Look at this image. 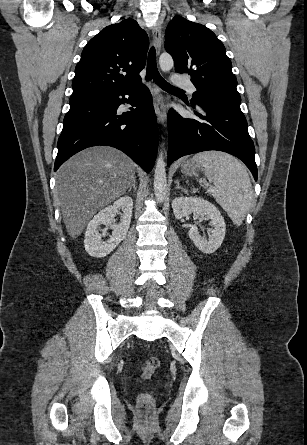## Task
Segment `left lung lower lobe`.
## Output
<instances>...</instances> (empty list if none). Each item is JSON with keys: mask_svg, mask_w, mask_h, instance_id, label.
<instances>
[{"mask_svg": "<svg viewBox=\"0 0 307 445\" xmlns=\"http://www.w3.org/2000/svg\"><path fill=\"white\" fill-rule=\"evenodd\" d=\"M203 114L194 111L202 120L183 118L175 111L168 114L169 147L167 164L201 151L219 150L241 159L257 180L255 148L247 121L240 109L222 105H198Z\"/></svg>", "mask_w": 307, "mask_h": 445, "instance_id": "left-lung-lower-lobe-1", "label": "left lung lower lobe"}]
</instances>
